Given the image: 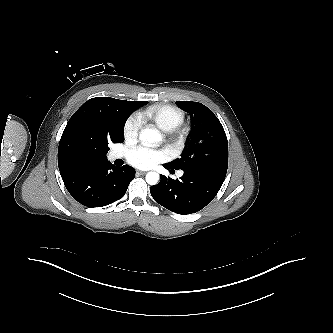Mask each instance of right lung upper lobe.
<instances>
[{
    "mask_svg": "<svg viewBox=\"0 0 333 333\" xmlns=\"http://www.w3.org/2000/svg\"><path fill=\"white\" fill-rule=\"evenodd\" d=\"M122 101L124 100L95 97L86 101L72 115L59 142L58 166L61 174L78 162L107 158V153L101 150L99 142L115 133V110Z\"/></svg>",
    "mask_w": 333,
    "mask_h": 333,
    "instance_id": "cb5924a9",
    "label": "right lung upper lobe"
}]
</instances>
